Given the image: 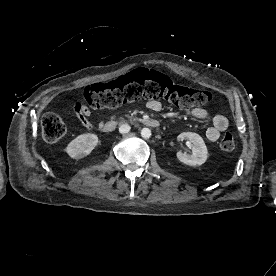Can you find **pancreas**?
<instances>
[{"mask_svg": "<svg viewBox=\"0 0 276 276\" xmlns=\"http://www.w3.org/2000/svg\"><path fill=\"white\" fill-rule=\"evenodd\" d=\"M125 116H126L127 118H130V119L132 118L130 115H125ZM122 120H123V119H122Z\"/></svg>", "mask_w": 276, "mask_h": 276, "instance_id": "1", "label": "pancreas"}]
</instances>
